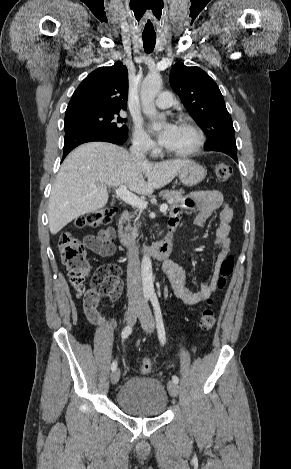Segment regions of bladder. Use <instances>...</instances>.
Wrapping results in <instances>:
<instances>
[{"label":"bladder","mask_w":291,"mask_h":469,"mask_svg":"<svg viewBox=\"0 0 291 469\" xmlns=\"http://www.w3.org/2000/svg\"><path fill=\"white\" fill-rule=\"evenodd\" d=\"M118 407L133 416H159L169 403L164 385L156 378L132 376L119 388L116 395Z\"/></svg>","instance_id":"bladder-1"}]
</instances>
